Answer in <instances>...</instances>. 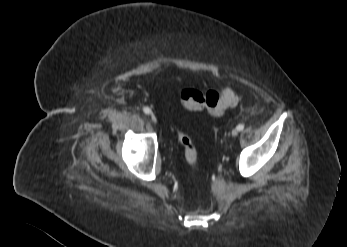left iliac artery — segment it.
I'll list each match as a JSON object with an SVG mask.
<instances>
[{"instance_id":"44dca946","label":"left iliac artery","mask_w":347,"mask_h":247,"mask_svg":"<svg viewBox=\"0 0 347 247\" xmlns=\"http://www.w3.org/2000/svg\"><path fill=\"white\" fill-rule=\"evenodd\" d=\"M238 131H242L244 129V125L243 124H239L237 127Z\"/></svg>"}]
</instances>
